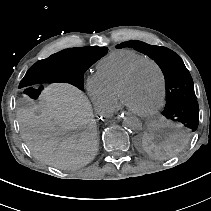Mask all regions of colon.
Returning a JSON list of instances; mask_svg holds the SVG:
<instances>
[{
  "mask_svg": "<svg viewBox=\"0 0 211 211\" xmlns=\"http://www.w3.org/2000/svg\"><path fill=\"white\" fill-rule=\"evenodd\" d=\"M43 90H44L43 86L31 85L24 90V96H25V98H27L29 100H35L40 97Z\"/></svg>",
  "mask_w": 211,
  "mask_h": 211,
  "instance_id": "1",
  "label": "colon"
}]
</instances>
